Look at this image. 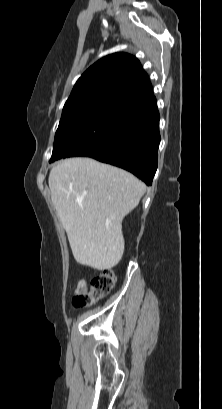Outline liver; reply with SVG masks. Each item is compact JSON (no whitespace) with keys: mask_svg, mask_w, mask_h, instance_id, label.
Listing matches in <instances>:
<instances>
[{"mask_svg":"<svg viewBox=\"0 0 222 409\" xmlns=\"http://www.w3.org/2000/svg\"><path fill=\"white\" fill-rule=\"evenodd\" d=\"M48 183L75 260L101 271L116 266L124 253L122 221L145 185L123 169L82 157L59 162Z\"/></svg>","mask_w":222,"mask_h":409,"instance_id":"1","label":"liver"}]
</instances>
